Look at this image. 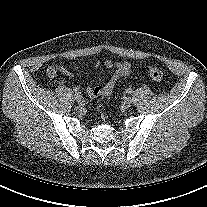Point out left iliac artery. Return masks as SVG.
<instances>
[{"label": "left iliac artery", "instance_id": "44dca946", "mask_svg": "<svg viewBox=\"0 0 207 207\" xmlns=\"http://www.w3.org/2000/svg\"><path fill=\"white\" fill-rule=\"evenodd\" d=\"M126 93L131 94V93H132V89H131V88H128V89L126 90Z\"/></svg>", "mask_w": 207, "mask_h": 207}]
</instances>
